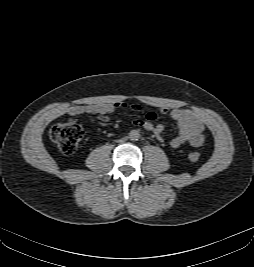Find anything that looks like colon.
Here are the masks:
<instances>
[{
    "mask_svg": "<svg viewBox=\"0 0 254 267\" xmlns=\"http://www.w3.org/2000/svg\"><path fill=\"white\" fill-rule=\"evenodd\" d=\"M82 137L83 129L75 120L55 124L50 129V138L64 154L75 152ZM188 159L191 162H197L200 159V153L196 151L190 152Z\"/></svg>",
    "mask_w": 254,
    "mask_h": 267,
    "instance_id": "obj_1",
    "label": "colon"
}]
</instances>
